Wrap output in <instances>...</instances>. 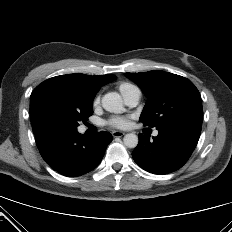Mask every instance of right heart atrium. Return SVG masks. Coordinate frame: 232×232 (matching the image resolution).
<instances>
[{
    "label": "right heart atrium",
    "instance_id": "right-heart-atrium-1",
    "mask_svg": "<svg viewBox=\"0 0 232 232\" xmlns=\"http://www.w3.org/2000/svg\"><path fill=\"white\" fill-rule=\"evenodd\" d=\"M99 103V97H95L93 100V106H96Z\"/></svg>",
    "mask_w": 232,
    "mask_h": 232
}]
</instances>
